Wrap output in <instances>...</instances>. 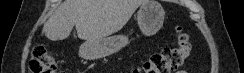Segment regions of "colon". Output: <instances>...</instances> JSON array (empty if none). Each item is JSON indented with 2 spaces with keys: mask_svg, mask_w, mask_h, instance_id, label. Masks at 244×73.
<instances>
[{
  "mask_svg": "<svg viewBox=\"0 0 244 73\" xmlns=\"http://www.w3.org/2000/svg\"><path fill=\"white\" fill-rule=\"evenodd\" d=\"M176 32L175 46L163 48L142 63L141 68L145 73H175L187 60L192 51L191 41L181 28H177ZM28 69L30 73H56L57 63L45 49L37 48L29 61Z\"/></svg>",
  "mask_w": 244,
  "mask_h": 73,
  "instance_id": "obj_1",
  "label": "colon"
}]
</instances>
